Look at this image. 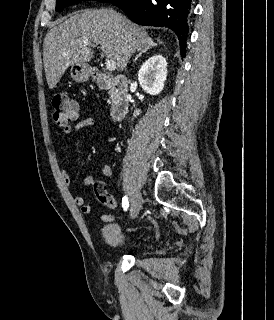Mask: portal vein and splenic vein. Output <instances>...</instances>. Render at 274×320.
I'll list each match as a JSON object with an SVG mask.
<instances>
[{"mask_svg": "<svg viewBox=\"0 0 274 320\" xmlns=\"http://www.w3.org/2000/svg\"><path fill=\"white\" fill-rule=\"evenodd\" d=\"M83 44H85V46H88V42H83ZM90 46H93L94 48V44H90ZM105 66L107 70H110V72H112V70H115L116 68V62L115 60H106Z\"/></svg>", "mask_w": 274, "mask_h": 320, "instance_id": "1", "label": "portal vein and splenic vein"}]
</instances>
